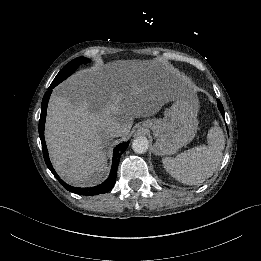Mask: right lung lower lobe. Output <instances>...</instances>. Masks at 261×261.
I'll return each mask as SVG.
<instances>
[{"label": "right lung lower lobe", "mask_w": 261, "mask_h": 261, "mask_svg": "<svg viewBox=\"0 0 261 261\" xmlns=\"http://www.w3.org/2000/svg\"><path fill=\"white\" fill-rule=\"evenodd\" d=\"M53 88L54 87H52L50 85V87L48 88V91L45 93V95L43 97L42 105H41V115H40V120H39V136L41 139L43 157H44L46 165L48 166L50 171L54 174V176L57 178V180L60 182V184L70 192H73V193H76L79 195H84V196H94V195H99V194L108 192L109 190L112 189V187L115 184L116 177H117L118 164H119L121 155L124 153V151L128 147L129 142L121 143L115 147L114 152H113L112 167L110 170V174L103 183L96 185V186H92V187H86V188L73 187L71 185L66 184L63 180L60 179V177L57 175V173L55 172V170L52 167V164L49 159L48 151H47V146H46L45 139H44V126H45L47 105H48V101H49Z\"/></svg>", "instance_id": "1"}]
</instances>
